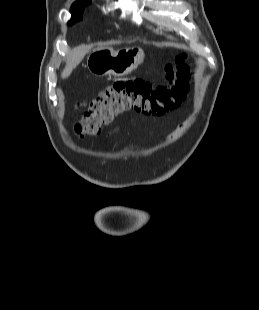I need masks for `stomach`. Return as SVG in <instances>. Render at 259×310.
<instances>
[{"mask_svg":"<svg viewBox=\"0 0 259 310\" xmlns=\"http://www.w3.org/2000/svg\"><path fill=\"white\" fill-rule=\"evenodd\" d=\"M144 60V52L139 47L122 48L115 51L111 47L94 49L87 58V67L95 75L122 77L131 73Z\"/></svg>","mask_w":259,"mask_h":310,"instance_id":"stomach-1","label":"stomach"}]
</instances>
